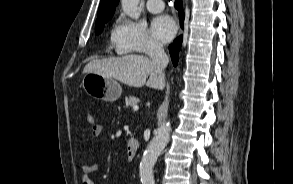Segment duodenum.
I'll return each mask as SVG.
<instances>
[{
	"mask_svg": "<svg viewBox=\"0 0 293 184\" xmlns=\"http://www.w3.org/2000/svg\"><path fill=\"white\" fill-rule=\"evenodd\" d=\"M139 149V141L137 139H130L127 143V157L128 160H133Z\"/></svg>",
	"mask_w": 293,
	"mask_h": 184,
	"instance_id": "410a0bca",
	"label": "duodenum"
}]
</instances>
